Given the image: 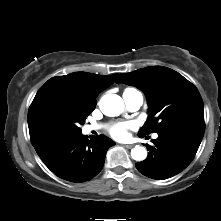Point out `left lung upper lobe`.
<instances>
[{
	"label": "left lung upper lobe",
	"mask_w": 221,
	"mask_h": 221,
	"mask_svg": "<svg viewBox=\"0 0 221 221\" xmlns=\"http://www.w3.org/2000/svg\"><path fill=\"white\" fill-rule=\"evenodd\" d=\"M116 82L136 86L147 96L149 116L139 136L178 124H204V105L197 88L172 69L147 67L122 73Z\"/></svg>",
	"instance_id": "1"
}]
</instances>
